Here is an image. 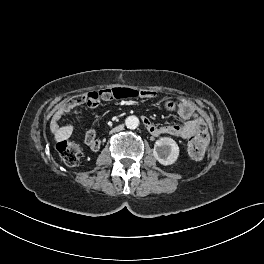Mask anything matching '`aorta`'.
Returning a JSON list of instances; mask_svg holds the SVG:
<instances>
[{
	"mask_svg": "<svg viewBox=\"0 0 264 264\" xmlns=\"http://www.w3.org/2000/svg\"><path fill=\"white\" fill-rule=\"evenodd\" d=\"M125 125L129 129H136L139 126V119L136 116H129L125 120Z\"/></svg>",
	"mask_w": 264,
	"mask_h": 264,
	"instance_id": "aorta-1",
	"label": "aorta"
}]
</instances>
